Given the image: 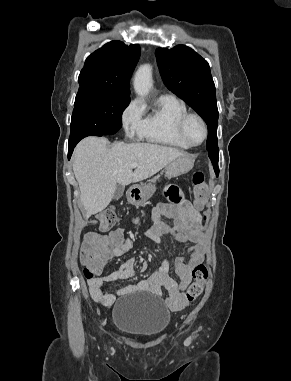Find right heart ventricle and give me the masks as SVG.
Returning a JSON list of instances; mask_svg holds the SVG:
<instances>
[{"label": "right heart ventricle", "instance_id": "obj_1", "mask_svg": "<svg viewBox=\"0 0 291 381\" xmlns=\"http://www.w3.org/2000/svg\"><path fill=\"white\" fill-rule=\"evenodd\" d=\"M142 110V109H141ZM138 135L161 146L189 149L178 132L179 120L188 113L185 103L174 96H161L150 111L142 110Z\"/></svg>", "mask_w": 291, "mask_h": 381}]
</instances>
